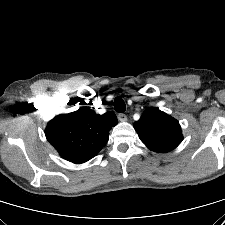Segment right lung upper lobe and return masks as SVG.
I'll return each instance as SVG.
<instances>
[{
	"label": "right lung upper lobe",
	"mask_w": 225,
	"mask_h": 225,
	"mask_svg": "<svg viewBox=\"0 0 225 225\" xmlns=\"http://www.w3.org/2000/svg\"><path fill=\"white\" fill-rule=\"evenodd\" d=\"M117 123V117L111 111L99 115L92 109L81 107L54 117L45 134L64 159L81 164L97 155L108 141L109 130Z\"/></svg>",
	"instance_id": "obj_1"
}]
</instances>
